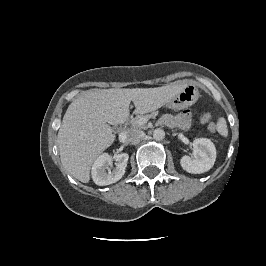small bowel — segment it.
<instances>
[{
  "mask_svg": "<svg viewBox=\"0 0 266 266\" xmlns=\"http://www.w3.org/2000/svg\"><path fill=\"white\" fill-rule=\"evenodd\" d=\"M162 120L167 126L187 129L191 125V114L189 111H185L177 115L168 114L165 115Z\"/></svg>",
  "mask_w": 266,
  "mask_h": 266,
  "instance_id": "c3829d8e",
  "label": "small bowel"
}]
</instances>
